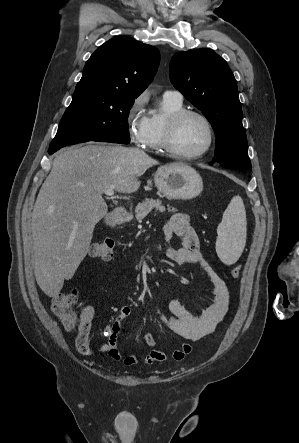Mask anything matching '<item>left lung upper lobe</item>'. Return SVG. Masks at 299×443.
Segmentation results:
<instances>
[{
  "label": "left lung upper lobe",
  "mask_w": 299,
  "mask_h": 443,
  "mask_svg": "<svg viewBox=\"0 0 299 443\" xmlns=\"http://www.w3.org/2000/svg\"><path fill=\"white\" fill-rule=\"evenodd\" d=\"M170 80L211 123L214 161L224 168L251 170L236 80L227 62L204 48L179 52L170 62Z\"/></svg>",
  "instance_id": "obj_1"
}]
</instances>
